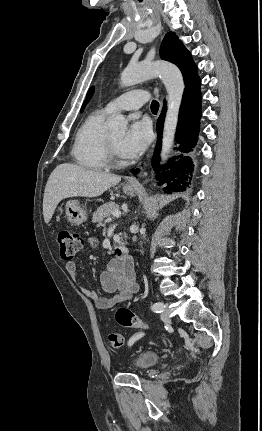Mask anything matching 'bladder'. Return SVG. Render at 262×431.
I'll use <instances>...</instances> for the list:
<instances>
[{
    "mask_svg": "<svg viewBox=\"0 0 262 431\" xmlns=\"http://www.w3.org/2000/svg\"><path fill=\"white\" fill-rule=\"evenodd\" d=\"M159 360V355L152 350H142L133 358V367L137 372L148 370Z\"/></svg>",
    "mask_w": 262,
    "mask_h": 431,
    "instance_id": "bladder-1",
    "label": "bladder"
}]
</instances>
